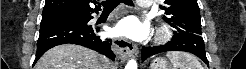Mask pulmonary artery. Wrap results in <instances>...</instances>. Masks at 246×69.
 I'll return each instance as SVG.
<instances>
[{"label": "pulmonary artery", "instance_id": "pulmonary-artery-1", "mask_svg": "<svg viewBox=\"0 0 246 69\" xmlns=\"http://www.w3.org/2000/svg\"><path fill=\"white\" fill-rule=\"evenodd\" d=\"M137 3H138L139 6H141V7H148V6L151 5L150 2H148V1H138Z\"/></svg>", "mask_w": 246, "mask_h": 69}]
</instances>
